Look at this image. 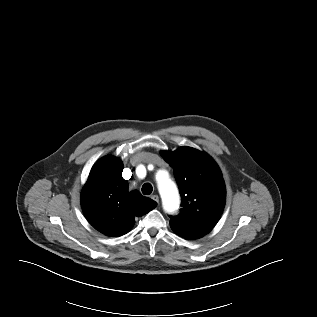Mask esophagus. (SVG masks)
Here are the masks:
<instances>
[{
    "label": "esophagus",
    "mask_w": 317,
    "mask_h": 317,
    "mask_svg": "<svg viewBox=\"0 0 317 317\" xmlns=\"http://www.w3.org/2000/svg\"><path fill=\"white\" fill-rule=\"evenodd\" d=\"M151 199L154 200L155 202L159 203V196L154 194L151 196Z\"/></svg>",
    "instance_id": "esophagus-1"
}]
</instances>
